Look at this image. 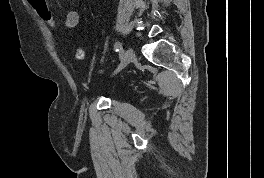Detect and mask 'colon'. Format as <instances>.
<instances>
[{
  "instance_id": "1",
  "label": "colon",
  "mask_w": 264,
  "mask_h": 178,
  "mask_svg": "<svg viewBox=\"0 0 264 178\" xmlns=\"http://www.w3.org/2000/svg\"><path fill=\"white\" fill-rule=\"evenodd\" d=\"M29 5L35 10L39 17L52 28H58L57 19L48 6L46 0H27ZM74 57L77 60H83L85 58V50L83 48H77L74 52Z\"/></svg>"
}]
</instances>
